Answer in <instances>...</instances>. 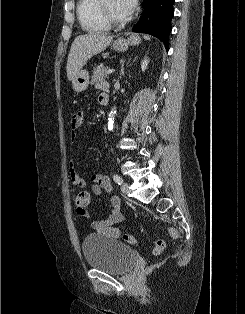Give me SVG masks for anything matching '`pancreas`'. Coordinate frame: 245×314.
<instances>
[{
	"label": "pancreas",
	"instance_id": "1",
	"mask_svg": "<svg viewBox=\"0 0 245 314\" xmlns=\"http://www.w3.org/2000/svg\"><path fill=\"white\" fill-rule=\"evenodd\" d=\"M109 70L108 67L103 65L97 66L94 68L93 74L91 76V84H99L105 81L108 78L106 72Z\"/></svg>",
	"mask_w": 245,
	"mask_h": 314
}]
</instances>
